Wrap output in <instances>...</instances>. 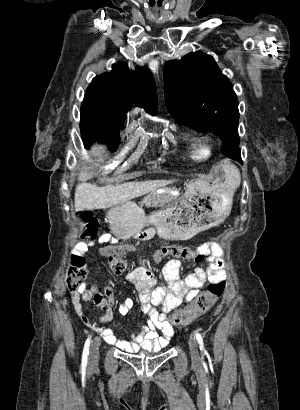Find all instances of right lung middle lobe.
Segmentation results:
<instances>
[{
	"mask_svg": "<svg viewBox=\"0 0 300 410\" xmlns=\"http://www.w3.org/2000/svg\"><path fill=\"white\" fill-rule=\"evenodd\" d=\"M124 121L115 117H108L102 112L101 102L97 96L85 93L81 106L80 129L85 145L93 140L103 141L111 149L119 144V129L123 128Z\"/></svg>",
	"mask_w": 300,
	"mask_h": 410,
	"instance_id": "right-lung-middle-lobe-1",
	"label": "right lung middle lobe"
}]
</instances>
